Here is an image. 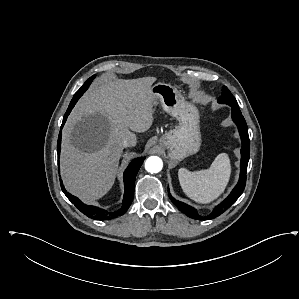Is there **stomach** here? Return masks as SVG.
Segmentation results:
<instances>
[{"label": "stomach", "instance_id": "stomach-1", "mask_svg": "<svg viewBox=\"0 0 299 299\" xmlns=\"http://www.w3.org/2000/svg\"><path fill=\"white\" fill-rule=\"evenodd\" d=\"M153 104L179 121V125L159 139V145L167 149L172 161H181L199 151L201 145L200 116L197 107L182 97L176 87L157 83L151 87Z\"/></svg>", "mask_w": 299, "mask_h": 299}]
</instances>
